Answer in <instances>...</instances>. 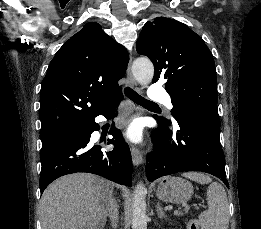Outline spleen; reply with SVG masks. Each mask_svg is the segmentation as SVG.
Wrapping results in <instances>:
<instances>
[{
  "label": "spleen",
  "mask_w": 261,
  "mask_h": 229,
  "mask_svg": "<svg viewBox=\"0 0 261 229\" xmlns=\"http://www.w3.org/2000/svg\"><path fill=\"white\" fill-rule=\"evenodd\" d=\"M182 177L196 181L200 185H208L207 205L208 211L199 215L201 229H228L229 205L224 187L220 183H212V179L202 173H183Z\"/></svg>",
  "instance_id": "obj_1"
}]
</instances>
